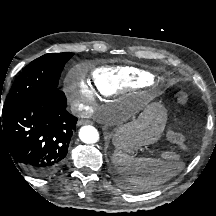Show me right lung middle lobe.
I'll use <instances>...</instances> for the list:
<instances>
[{"mask_svg":"<svg viewBox=\"0 0 216 216\" xmlns=\"http://www.w3.org/2000/svg\"><path fill=\"white\" fill-rule=\"evenodd\" d=\"M72 56L73 53L69 52L49 53L28 64L16 78L4 103L3 111L32 97L57 90L64 65Z\"/></svg>","mask_w":216,"mask_h":216,"instance_id":"obj_1","label":"right lung middle lobe"}]
</instances>
